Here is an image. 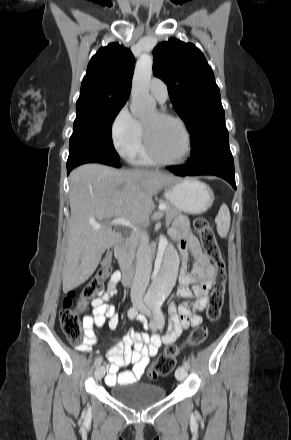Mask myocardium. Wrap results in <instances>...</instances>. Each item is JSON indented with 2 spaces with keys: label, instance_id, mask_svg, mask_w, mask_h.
<instances>
[{
  "label": "myocardium",
  "instance_id": "obj_1",
  "mask_svg": "<svg viewBox=\"0 0 291 440\" xmlns=\"http://www.w3.org/2000/svg\"><path fill=\"white\" fill-rule=\"evenodd\" d=\"M156 112L160 117L173 120L181 127V129L185 135V138H186L187 148H186V153L181 160L167 161V160L163 159L160 156V154L157 152L155 147L153 146L149 132H148L146 126L142 123L144 144H145V147H146V150H147L149 156L156 163L164 165V166H179V165L184 164L189 159V157L191 156V153H192V137H191V133H190L188 127L186 126L185 122L177 115L169 113L165 110H157Z\"/></svg>",
  "mask_w": 291,
  "mask_h": 440
}]
</instances>
